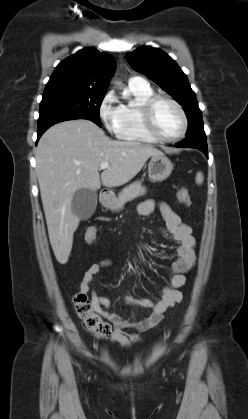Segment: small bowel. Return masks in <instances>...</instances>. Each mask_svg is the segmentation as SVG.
Segmentation results:
<instances>
[{"label": "small bowel", "mask_w": 248, "mask_h": 419, "mask_svg": "<svg viewBox=\"0 0 248 419\" xmlns=\"http://www.w3.org/2000/svg\"><path fill=\"white\" fill-rule=\"evenodd\" d=\"M154 200L148 199L139 205V213L147 216L156 208ZM159 211L165 222L167 231L178 244L177 259L172 263V276L170 284L162 289L161 298L157 302L149 299H135L125 297V302L149 310V314L142 320H127L118 314L108 311L111 302L107 297L98 296L90 284L104 267L110 266L112 261L104 259L93 263L84 273L80 283V291L92 294V302L96 311L113 325L110 341L129 348L134 343L141 341V333L154 329L167 309L181 302V288L185 285V274L193 269L196 262L195 239L189 225L182 222L181 218L166 203L158 204ZM131 329L134 332H128Z\"/></svg>", "instance_id": "obj_1"}]
</instances>
